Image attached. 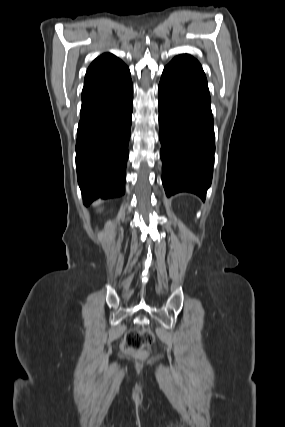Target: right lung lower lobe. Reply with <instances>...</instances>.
I'll return each instance as SVG.
<instances>
[{"instance_id": "98d812e1", "label": "right lung lower lobe", "mask_w": 285, "mask_h": 427, "mask_svg": "<svg viewBox=\"0 0 285 427\" xmlns=\"http://www.w3.org/2000/svg\"><path fill=\"white\" fill-rule=\"evenodd\" d=\"M132 109L133 84L127 66L83 87L76 164L85 205L124 194Z\"/></svg>"}]
</instances>
